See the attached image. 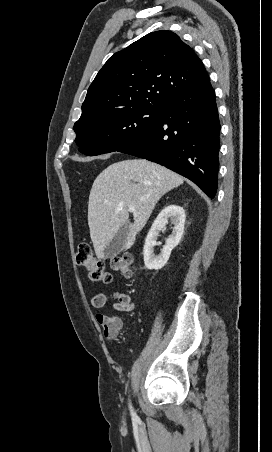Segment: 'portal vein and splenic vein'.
Masks as SVG:
<instances>
[{"instance_id":"obj_1","label":"portal vein and splenic vein","mask_w":272,"mask_h":452,"mask_svg":"<svg viewBox=\"0 0 272 452\" xmlns=\"http://www.w3.org/2000/svg\"><path fill=\"white\" fill-rule=\"evenodd\" d=\"M142 200H144V199H142ZM128 210H129L130 212H134V211H135V207H134L133 205H130L129 208H128Z\"/></svg>"}]
</instances>
